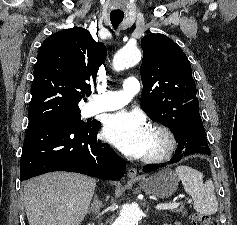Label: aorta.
I'll return each instance as SVG.
<instances>
[{
	"instance_id": "762f6f07",
	"label": "aorta",
	"mask_w": 237,
	"mask_h": 225,
	"mask_svg": "<svg viewBox=\"0 0 237 225\" xmlns=\"http://www.w3.org/2000/svg\"><path fill=\"white\" fill-rule=\"evenodd\" d=\"M141 60V52L137 47H124L114 56L113 68L116 71L136 65ZM141 219V210L138 206L126 205L112 225H138Z\"/></svg>"
}]
</instances>
